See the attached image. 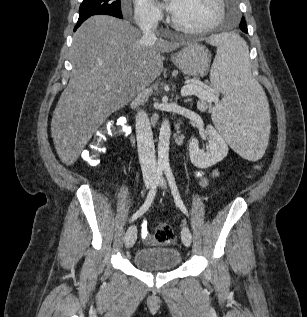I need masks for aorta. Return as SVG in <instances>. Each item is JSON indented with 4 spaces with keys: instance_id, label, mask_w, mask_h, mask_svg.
<instances>
[{
    "instance_id": "1",
    "label": "aorta",
    "mask_w": 307,
    "mask_h": 317,
    "mask_svg": "<svg viewBox=\"0 0 307 317\" xmlns=\"http://www.w3.org/2000/svg\"><path fill=\"white\" fill-rule=\"evenodd\" d=\"M171 129L167 119L163 120L158 142V165L160 167L169 166V145H170Z\"/></svg>"
}]
</instances>
